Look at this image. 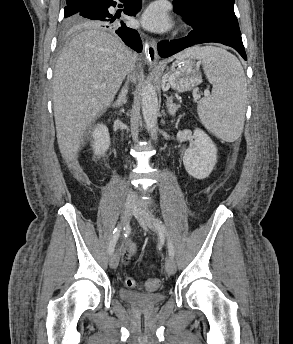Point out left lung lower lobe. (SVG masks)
Wrapping results in <instances>:
<instances>
[{
    "instance_id": "left-lung-lower-lobe-1",
    "label": "left lung lower lobe",
    "mask_w": 293,
    "mask_h": 344,
    "mask_svg": "<svg viewBox=\"0 0 293 344\" xmlns=\"http://www.w3.org/2000/svg\"><path fill=\"white\" fill-rule=\"evenodd\" d=\"M174 11L182 15L185 18L184 21L190 25L193 30L187 37L178 40L159 42L158 52L162 58L170 57L196 44L215 42L234 48L245 60H247L241 35H237L227 28L213 22L203 21L197 16L181 10L175 4Z\"/></svg>"
}]
</instances>
